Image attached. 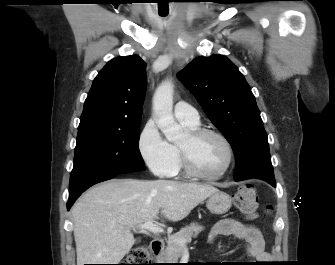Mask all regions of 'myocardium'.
I'll use <instances>...</instances> for the list:
<instances>
[{"instance_id": "1", "label": "myocardium", "mask_w": 335, "mask_h": 265, "mask_svg": "<svg viewBox=\"0 0 335 265\" xmlns=\"http://www.w3.org/2000/svg\"><path fill=\"white\" fill-rule=\"evenodd\" d=\"M188 136L192 141H198L207 136H214L218 138L224 144L226 148L227 160H226L224 167L218 173L212 174V175L204 174L200 172L194 166L188 150L185 147L178 145V150L180 153L182 166L185 172L193 178L204 180V181H215V180H219L220 178H222L229 171L234 161V150H233V146L231 142L229 141V139L222 133L216 130L207 129V128L193 129L189 131Z\"/></svg>"}]
</instances>
